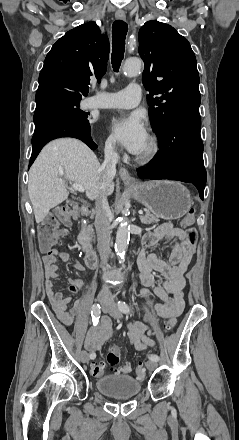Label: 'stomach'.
Returning <instances> with one entry per match:
<instances>
[{
	"instance_id": "0dacf381",
	"label": "stomach",
	"mask_w": 239,
	"mask_h": 440,
	"mask_svg": "<svg viewBox=\"0 0 239 440\" xmlns=\"http://www.w3.org/2000/svg\"><path fill=\"white\" fill-rule=\"evenodd\" d=\"M128 190L134 200L163 220H178L185 216L192 206L191 194L180 182H168V180L138 182L137 188H128Z\"/></svg>"
}]
</instances>
